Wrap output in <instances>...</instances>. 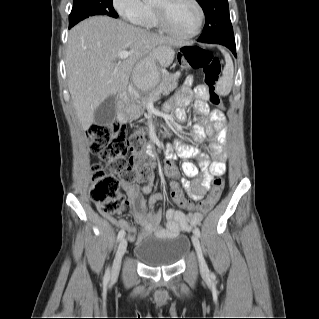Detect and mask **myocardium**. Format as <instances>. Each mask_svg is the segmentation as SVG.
Instances as JSON below:
<instances>
[{"mask_svg": "<svg viewBox=\"0 0 319 319\" xmlns=\"http://www.w3.org/2000/svg\"><path fill=\"white\" fill-rule=\"evenodd\" d=\"M170 1L171 0H161L162 3L160 5L153 4L155 16L157 18V22H158L159 26L166 33H168V34H170L178 39L187 40V39H191V38H194L195 36H197L202 28L204 16H205L204 10H203L201 4L199 3V1L198 0H189L197 9L198 21H197L195 29L191 33H188V34L178 33L177 31H175L174 29H172L169 26V24L167 22L166 8H167V5Z\"/></svg>", "mask_w": 319, "mask_h": 319, "instance_id": "obj_1", "label": "myocardium"}]
</instances>
